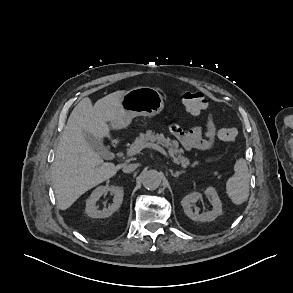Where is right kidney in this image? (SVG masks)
<instances>
[{
  "instance_id": "right-kidney-1",
  "label": "right kidney",
  "mask_w": 293,
  "mask_h": 293,
  "mask_svg": "<svg viewBox=\"0 0 293 293\" xmlns=\"http://www.w3.org/2000/svg\"><path fill=\"white\" fill-rule=\"evenodd\" d=\"M111 192L114 195L113 202L108 208L99 210L97 208V201L100 197L108 192ZM124 190L122 187L117 186H99L97 187L90 198L86 202V214L92 218H106L111 216L115 211H117L123 201Z\"/></svg>"
}]
</instances>
